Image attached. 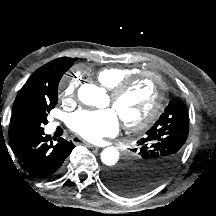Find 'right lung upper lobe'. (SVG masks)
<instances>
[{
	"mask_svg": "<svg viewBox=\"0 0 216 216\" xmlns=\"http://www.w3.org/2000/svg\"><path fill=\"white\" fill-rule=\"evenodd\" d=\"M76 58L61 57L36 70L18 92L9 125L11 146H15L22 136L29 133L26 121L37 114L46 104L55 102L62 75ZM66 70V71H65Z\"/></svg>",
	"mask_w": 216,
	"mask_h": 216,
	"instance_id": "1",
	"label": "right lung upper lobe"
}]
</instances>
